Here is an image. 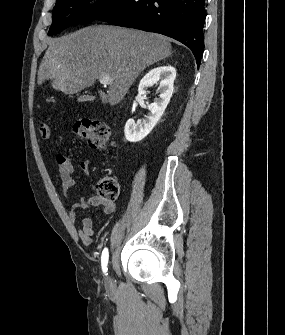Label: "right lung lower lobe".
Masks as SVG:
<instances>
[{
	"label": "right lung lower lobe",
	"mask_w": 285,
	"mask_h": 335,
	"mask_svg": "<svg viewBox=\"0 0 285 335\" xmlns=\"http://www.w3.org/2000/svg\"><path fill=\"white\" fill-rule=\"evenodd\" d=\"M205 0H120L96 20L160 33L189 47L200 65Z\"/></svg>",
	"instance_id": "right-lung-lower-lobe-1"
}]
</instances>
